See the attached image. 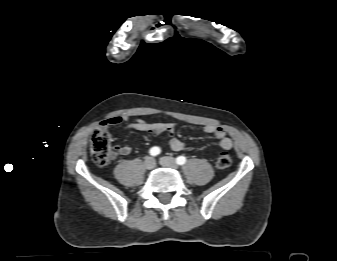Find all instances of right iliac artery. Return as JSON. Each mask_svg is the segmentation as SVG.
<instances>
[{"mask_svg": "<svg viewBox=\"0 0 337 261\" xmlns=\"http://www.w3.org/2000/svg\"><path fill=\"white\" fill-rule=\"evenodd\" d=\"M160 152H161V150L157 146L152 147L149 151L150 155H152V156H157L158 154H160Z\"/></svg>", "mask_w": 337, "mask_h": 261, "instance_id": "82829eb1", "label": "right iliac artery"}]
</instances>
